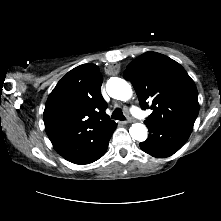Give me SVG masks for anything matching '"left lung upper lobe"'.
I'll return each mask as SVG.
<instances>
[{
    "label": "left lung upper lobe",
    "instance_id": "5c2ea615",
    "mask_svg": "<svg viewBox=\"0 0 221 221\" xmlns=\"http://www.w3.org/2000/svg\"><path fill=\"white\" fill-rule=\"evenodd\" d=\"M123 77L132 83L141 108L153 110L145 121L193 128L199 112L197 88L179 63L146 52L129 63Z\"/></svg>",
    "mask_w": 221,
    "mask_h": 221
}]
</instances>
